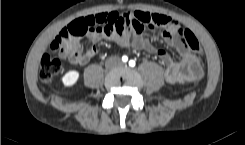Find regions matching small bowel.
I'll list each match as a JSON object with an SVG mask.
<instances>
[{
  "instance_id": "small-bowel-1",
  "label": "small bowel",
  "mask_w": 245,
  "mask_h": 145,
  "mask_svg": "<svg viewBox=\"0 0 245 145\" xmlns=\"http://www.w3.org/2000/svg\"><path fill=\"white\" fill-rule=\"evenodd\" d=\"M147 15L150 18L155 14L151 12L144 11H132V12H108L105 14L93 16L96 24L98 21V16L102 17L105 22H115L120 17L126 16L129 19L140 20L141 15ZM161 15V14H158ZM163 16V15H161ZM166 17V16H165ZM87 17L80 18V21L86 22ZM159 36L164 40V42L173 47L180 55L181 59L179 61L174 60L171 55L162 49H159L151 39H144L143 37H137L133 41V45L136 48L144 49L151 54L159 55L162 63L165 66V79L170 83L178 82H189L200 79L203 76L202 62L199 56L192 51L188 45L173 32L167 29L165 25L158 31ZM88 39L91 41L92 46L84 49L78 39L69 40L70 53L61 55L63 58H67L71 64L74 65H85L96 55L97 45L102 40H112L120 45L127 46L128 34L127 32H118L111 27L98 28L93 27L92 30L87 34Z\"/></svg>"
}]
</instances>
